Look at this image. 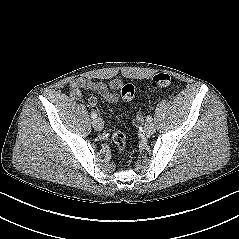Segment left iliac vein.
Returning a JSON list of instances; mask_svg holds the SVG:
<instances>
[{
	"mask_svg": "<svg viewBox=\"0 0 239 239\" xmlns=\"http://www.w3.org/2000/svg\"><path fill=\"white\" fill-rule=\"evenodd\" d=\"M146 135L150 136L155 132V126L152 123H146L144 126Z\"/></svg>",
	"mask_w": 239,
	"mask_h": 239,
	"instance_id": "4c4485c4",
	"label": "left iliac vein"
}]
</instances>
